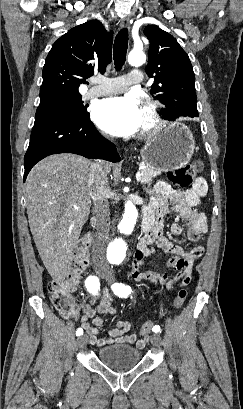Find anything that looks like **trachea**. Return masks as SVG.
<instances>
[{
	"instance_id": "3493384b",
	"label": "trachea",
	"mask_w": 243,
	"mask_h": 409,
	"mask_svg": "<svg viewBox=\"0 0 243 409\" xmlns=\"http://www.w3.org/2000/svg\"><path fill=\"white\" fill-rule=\"evenodd\" d=\"M128 48V30L123 28L114 41L113 57L115 69L120 70L125 63Z\"/></svg>"
}]
</instances>
